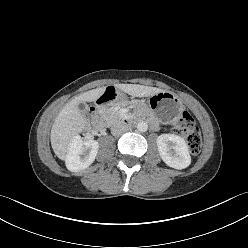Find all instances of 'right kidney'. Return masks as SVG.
<instances>
[{"label": "right kidney", "instance_id": "ca27d5eb", "mask_svg": "<svg viewBox=\"0 0 248 248\" xmlns=\"http://www.w3.org/2000/svg\"><path fill=\"white\" fill-rule=\"evenodd\" d=\"M98 148L96 140H83L80 136H75L65 159L67 169L78 172L88 168L94 162Z\"/></svg>", "mask_w": 248, "mask_h": 248}]
</instances>
